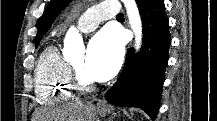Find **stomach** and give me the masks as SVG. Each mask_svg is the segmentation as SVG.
<instances>
[{
	"label": "stomach",
	"instance_id": "stomach-1",
	"mask_svg": "<svg viewBox=\"0 0 217 121\" xmlns=\"http://www.w3.org/2000/svg\"><path fill=\"white\" fill-rule=\"evenodd\" d=\"M96 113L99 114L100 116L104 117L110 113V108L109 107H100L98 106L96 108Z\"/></svg>",
	"mask_w": 217,
	"mask_h": 121
}]
</instances>
